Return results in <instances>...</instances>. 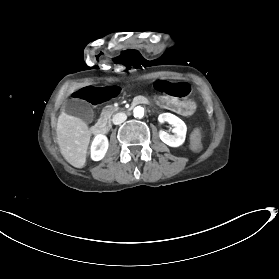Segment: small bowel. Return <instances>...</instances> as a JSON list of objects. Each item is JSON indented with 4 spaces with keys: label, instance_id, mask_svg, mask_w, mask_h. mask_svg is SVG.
Returning <instances> with one entry per match:
<instances>
[{
    "label": "small bowel",
    "instance_id": "small-bowel-1",
    "mask_svg": "<svg viewBox=\"0 0 279 279\" xmlns=\"http://www.w3.org/2000/svg\"><path fill=\"white\" fill-rule=\"evenodd\" d=\"M154 88L160 93L175 98H186L191 92V86L183 80L159 78L153 82Z\"/></svg>",
    "mask_w": 279,
    "mask_h": 279
}]
</instances>
